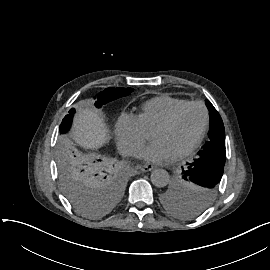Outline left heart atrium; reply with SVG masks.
Masks as SVG:
<instances>
[{
  "mask_svg": "<svg viewBox=\"0 0 270 270\" xmlns=\"http://www.w3.org/2000/svg\"><path fill=\"white\" fill-rule=\"evenodd\" d=\"M177 157L172 147L161 140L152 141L141 153L140 158L152 165H167Z\"/></svg>",
  "mask_w": 270,
  "mask_h": 270,
  "instance_id": "left-heart-atrium-1",
  "label": "left heart atrium"
}]
</instances>
